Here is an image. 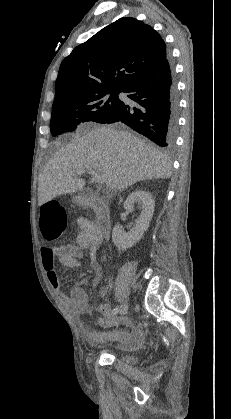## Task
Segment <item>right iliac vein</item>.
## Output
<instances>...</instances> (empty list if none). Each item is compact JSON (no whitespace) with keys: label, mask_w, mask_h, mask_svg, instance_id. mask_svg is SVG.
I'll use <instances>...</instances> for the list:
<instances>
[{"label":"right iliac vein","mask_w":231,"mask_h":419,"mask_svg":"<svg viewBox=\"0 0 231 419\" xmlns=\"http://www.w3.org/2000/svg\"><path fill=\"white\" fill-rule=\"evenodd\" d=\"M128 313V305L127 304H123L122 307L119 310V314L121 316H125Z\"/></svg>","instance_id":"63e3f726"}]
</instances>
